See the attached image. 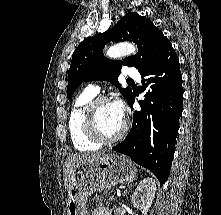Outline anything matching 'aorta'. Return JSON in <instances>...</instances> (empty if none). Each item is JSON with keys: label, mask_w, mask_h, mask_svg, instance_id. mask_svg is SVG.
Returning <instances> with one entry per match:
<instances>
[{"label": "aorta", "mask_w": 221, "mask_h": 215, "mask_svg": "<svg viewBox=\"0 0 221 215\" xmlns=\"http://www.w3.org/2000/svg\"><path fill=\"white\" fill-rule=\"evenodd\" d=\"M137 51L136 47L130 43H118L112 47H110L106 55L109 58L117 59L123 57L125 55L133 54Z\"/></svg>", "instance_id": "762f6f07"}]
</instances>
